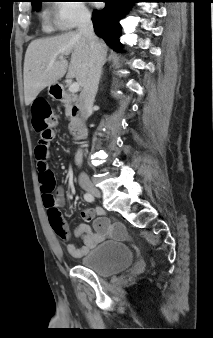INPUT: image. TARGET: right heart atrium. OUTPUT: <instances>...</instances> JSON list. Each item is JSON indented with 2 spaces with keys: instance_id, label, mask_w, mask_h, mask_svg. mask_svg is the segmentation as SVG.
<instances>
[{
  "instance_id": "d8ad5b80",
  "label": "right heart atrium",
  "mask_w": 213,
  "mask_h": 338,
  "mask_svg": "<svg viewBox=\"0 0 213 338\" xmlns=\"http://www.w3.org/2000/svg\"><path fill=\"white\" fill-rule=\"evenodd\" d=\"M53 23L61 29L79 26L89 19L87 8L80 2H60L54 7Z\"/></svg>"
}]
</instances>
